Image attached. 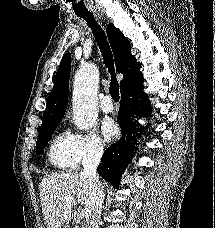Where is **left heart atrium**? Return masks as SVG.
<instances>
[{"label": "left heart atrium", "instance_id": "left-heart-atrium-1", "mask_svg": "<svg viewBox=\"0 0 215 228\" xmlns=\"http://www.w3.org/2000/svg\"><path fill=\"white\" fill-rule=\"evenodd\" d=\"M102 132L107 140H113L119 135V128L114 120L108 118L102 123Z\"/></svg>", "mask_w": 215, "mask_h": 228}]
</instances>
